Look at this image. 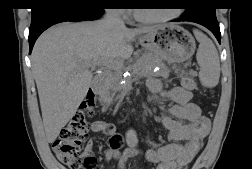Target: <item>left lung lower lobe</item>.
Instances as JSON below:
<instances>
[{"instance_id": "left-lung-lower-lobe-1", "label": "left lung lower lobe", "mask_w": 252, "mask_h": 169, "mask_svg": "<svg viewBox=\"0 0 252 169\" xmlns=\"http://www.w3.org/2000/svg\"><path fill=\"white\" fill-rule=\"evenodd\" d=\"M175 22L179 21H189V22H194L198 23L200 25H203L207 29H209L217 38V40L220 42L221 40V33H220V28H219V23L216 19V16H197V17H192V18H184L182 17L181 19L174 20Z\"/></svg>"}]
</instances>
